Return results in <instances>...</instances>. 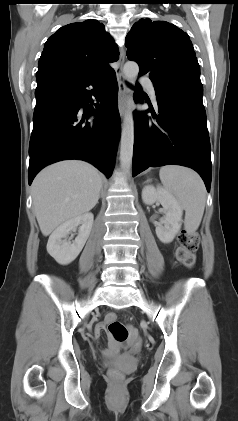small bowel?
Segmentation results:
<instances>
[{"instance_id":"c3829d8e","label":"small bowel","mask_w":238,"mask_h":421,"mask_svg":"<svg viewBox=\"0 0 238 421\" xmlns=\"http://www.w3.org/2000/svg\"><path fill=\"white\" fill-rule=\"evenodd\" d=\"M113 314H110L107 316L106 320L104 322L98 323L96 328H95V335L96 336H100L101 332L103 331V329L106 327V322L107 319L112 316ZM132 335H135V330L132 329Z\"/></svg>"}]
</instances>
